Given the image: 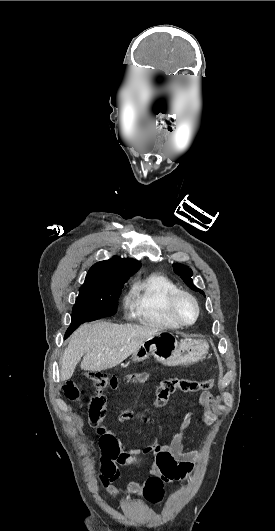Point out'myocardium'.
Returning a JSON list of instances; mask_svg holds the SVG:
<instances>
[{
	"label": "myocardium",
	"mask_w": 275,
	"mask_h": 531,
	"mask_svg": "<svg viewBox=\"0 0 275 531\" xmlns=\"http://www.w3.org/2000/svg\"><path fill=\"white\" fill-rule=\"evenodd\" d=\"M181 296H185V297H188L195 305V308H196V315L194 317V319L190 322H186V321H183L181 320L178 315L176 314V310H175V304H176V301L179 297ZM167 311L170 315V317L180 326H188V325H193L194 323H196L200 317V313H201V308H200V304H199V301L197 300V298L191 294L190 292L186 291V290H182V289H176L175 291H173L167 298Z\"/></svg>",
	"instance_id": "f54148a6"
}]
</instances>
